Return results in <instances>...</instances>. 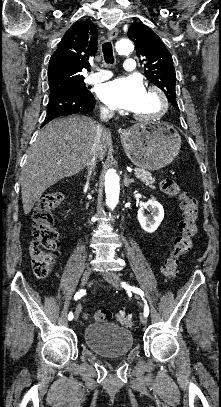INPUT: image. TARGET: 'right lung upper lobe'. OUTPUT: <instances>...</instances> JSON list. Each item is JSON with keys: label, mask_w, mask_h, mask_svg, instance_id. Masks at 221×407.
<instances>
[{"label": "right lung upper lobe", "mask_w": 221, "mask_h": 407, "mask_svg": "<svg viewBox=\"0 0 221 407\" xmlns=\"http://www.w3.org/2000/svg\"><path fill=\"white\" fill-rule=\"evenodd\" d=\"M97 51V28L91 21H77L64 34L50 58L48 80L50 88L83 82L82 70Z\"/></svg>", "instance_id": "obj_1"}]
</instances>
